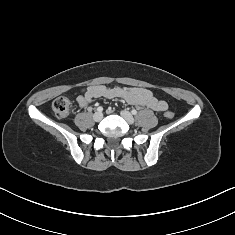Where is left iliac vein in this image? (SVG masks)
Wrapping results in <instances>:
<instances>
[{
    "instance_id": "obj_1",
    "label": "left iliac vein",
    "mask_w": 235,
    "mask_h": 235,
    "mask_svg": "<svg viewBox=\"0 0 235 235\" xmlns=\"http://www.w3.org/2000/svg\"><path fill=\"white\" fill-rule=\"evenodd\" d=\"M121 116L129 123V124H133L134 123V117L132 116V114L127 111V110H122L120 112Z\"/></svg>"
}]
</instances>
